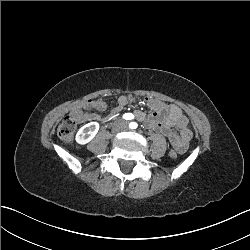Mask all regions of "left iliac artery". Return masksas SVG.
Returning <instances> with one entry per match:
<instances>
[{
    "mask_svg": "<svg viewBox=\"0 0 250 250\" xmlns=\"http://www.w3.org/2000/svg\"><path fill=\"white\" fill-rule=\"evenodd\" d=\"M137 126H138V124L135 123V122H131V123L129 124V127H130L131 129H136Z\"/></svg>",
    "mask_w": 250,
    "mask_h": 250,
    "instance_id": "1",
    "label": "left iliac artery"
}]
</instances>
